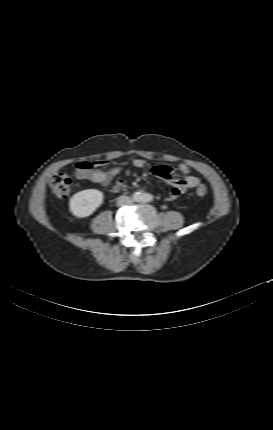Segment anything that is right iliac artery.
<instances>
[{
    "mask_svg": "<svg viewBox=\"0 0 273 430\" xmlns=\"http://www.w3.org/2000/svg\"><path fill=\"white\" fill-rule=\"evenodd\" d=\"M140 198H139V196H135V200H139Z\"/></svg>",
    "mask_w": 273,
    "mask_h": 430,
    "instance_id": "obj_1",
    "label": "right iliac artery"
}]
</instances>
